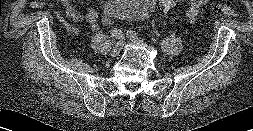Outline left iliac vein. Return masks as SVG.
Here are the masks:
<instances>
[{
    "mask_svg": "<svg viewBox=\"0 0 253 131\" xmlns=\"http://www.w3.org/2000/svg\"><path fill=\"white\" fill-rule=\"evenodd\" d=\"M129 40L136 42V43H143V40L140 37H133V36H127Z\"/></svg>",
    "mask_w": 253,
    "mask_h": 131,
    "instance_id": "4c4485c4",
    "label": "left iliac vein"
}]
</instances>
